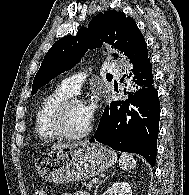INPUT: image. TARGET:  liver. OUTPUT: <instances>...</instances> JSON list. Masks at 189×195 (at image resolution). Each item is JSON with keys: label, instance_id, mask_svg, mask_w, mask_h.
<instances>
[{"label": "liver", "instance_id": "liver-1", "mask_svg": "<svg viewBox=\"0 0 189 195\" xmlns=\"http://www.w3.org/2000/svg\"><path fill=\"white\" fill-rule=\"evenodd\" d=\"M75 145H78V144H75ZM75 145H68V144H57V145H53L52 146V149H61V148H66V147H69V146H75Z\"/></svg>", "mask_w": 189, "mask_h": 195}]
</instances>
